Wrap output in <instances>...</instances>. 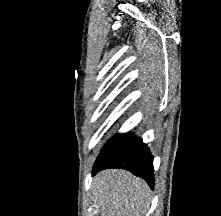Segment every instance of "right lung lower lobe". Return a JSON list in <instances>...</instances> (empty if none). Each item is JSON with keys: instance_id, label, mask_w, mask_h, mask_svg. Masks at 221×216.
Masks as SVG:
<instances>
[{"instance_id": "1", "label": "right lung lower lobe", "mask_w": 221, "mask_h": 216, "mask_svg": "<svg viewBox=\"0 0 221 216\" xmlns=\"http://www.w3.org/2000/svg\"><path fill=\"white\" fill-rule=\"evenodd\" d=\"M108 168L126 169L143 178L151 188L154 187L153 158L148 147L141 139L106 163L94 165L92 175Z\"/></svg>"}]
</instances>
